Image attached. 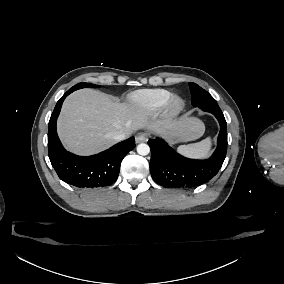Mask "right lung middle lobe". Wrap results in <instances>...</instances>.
Returning a JSON list of instances; mask_svg holds the SVG:
<instances>
[{
  "instance_id": "right-lung-middle-lobe-1",
  "label": "right lung middle lobe",
  "mask_w": 284,
  "mask_h": 284,
  "mask_svg": "<svg viewBox=\"0 0 284 284\" xmlns=\"http://www.w3.org/2000/svg\"><path fill=\"white\" fill-rule=\"evenodd\" d=\"M85 87H98L97 85H94V84H88V83H79L75 86H73L71 89L72 90H78V89H81V88H85Z\"/></svg>"
}]
</instances>
